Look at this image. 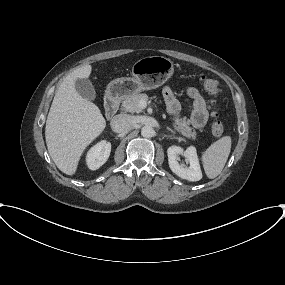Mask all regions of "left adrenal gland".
Instances as JSON below:
<instances>
[{"label": "left adrenal gland", "mask_w": 285, "mask_h": 285, "mask_svg": "<svg viewBox=\"0 0 285 285\" xmlns=\"http://www.w3.org/2000/svg\"><path fill=\"white\" fill-rule=\"evenodd\" d=\"M166 129H167L168 131H170L171 133L175 134V132H174L171 128L167 127Z\"/></svg>", "instance_id": "1"}]
</instances>
